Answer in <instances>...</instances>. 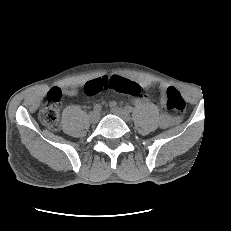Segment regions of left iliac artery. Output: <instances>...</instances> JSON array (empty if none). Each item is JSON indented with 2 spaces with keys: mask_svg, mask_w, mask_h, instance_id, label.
Masks as SVG:
<instances>
[{
  "mask_svg": "<svg viewBox=\"0 0 231 231\" xmlns=\"http://www.w3.org/2000/svg\"><path fill=\"white\" fill-rule=\"evenodd\" d=\"M124 109L128 113H131L133 111V107H131V106H126Z\"/></svg>",
  "mask_w": 231,
  "mask_h": 231,
  "instance_id": "44dca946",
  "label": "left iliac artery"
}]
</instances>
